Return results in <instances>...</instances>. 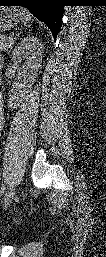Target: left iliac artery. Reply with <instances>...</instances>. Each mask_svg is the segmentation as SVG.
<instances>
[{"label": "left iliac artery", "mask_w": 106, "mask_h": 257, "mask_svg": "<svg viewBox=\"0 0 106 257\" xmlns=\"http://www.w3.org/2000/svg\"><path fill=\"white\" fill-rule=\"evenodd\" d=\"M4 191H5V184H2V187H1V190H0L1 195L4 194Z\"/></svg>", "instance_id": "44dca946"}]
</instances>
